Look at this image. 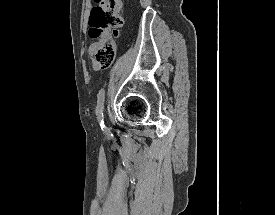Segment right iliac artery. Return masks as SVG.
I'll list each match as a JSON object with an SVG mask.
<instances>
[{
	"mask_svg": "<svg viewBox=\"0 0 275 215\" xmlns=\"http://www.w3.org/2000/svg\"><path fill=\"white\" fill-rule=\"evenodd\" d=\"M97 106H96V114L97 118L100 121L101 128H105L103 121V107H104V89H101L97 95Z\"/></svg>",
	"mask_w": 275,
	"mask_h": 215,
	"instance_id": "82829eb1",
	"label": "right iliac artery"
}]
</instances>
